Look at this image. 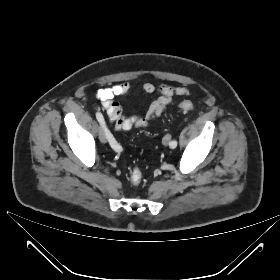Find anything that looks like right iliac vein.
<instances>
[{
	"mask_svg": "<svg viewBox=\"0 0 280 280\" xmlns=\"http://www.w3.org/2000/svg\"><path fill=\"white\" fill-rule=\"evenodd\" d=\"M107 132H106V129L102 126L99 130V140L102 142V143H106L107 142Z\"/></svg>",
	"mask_w": 280,
	"mask_h": 280,
	"instance_id": "1",
	"label": "right iliac vein"
}]
</instances>
